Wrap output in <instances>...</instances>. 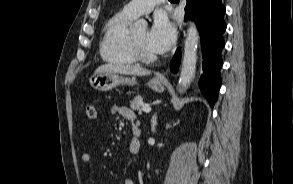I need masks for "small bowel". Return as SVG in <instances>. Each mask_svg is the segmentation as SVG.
Listing matches in <instances>:
<instances>
[{
	"mask_svg": "<svg viewBox=\"0 0 293 184\" xmlns=\"http://www.w3.org/2000/svg\"><path fill=\"white\" fill-rule=\"evenodd\" d=\"M111 113L113 114H118L120 115L122 118L128 120V121H134L136 119V115L133 112V110H131L129 107L127 106H122V105H114L111 108ZM129 150L131 154H136L139 150V148L137 147V143L135 138H132L129 144ZM81 162L83 163V165L86 167L87 170H89L90 165H91V156L89 153H83L81 155ZM124 184H135V182L130 179V178H126L124 180Z\"/></svg>",
	"mask_w": 293,
	"mask_h": 184,
	"instance_id": "small-bowel-1",
	"label": "small bowel"
}]
</instances>
